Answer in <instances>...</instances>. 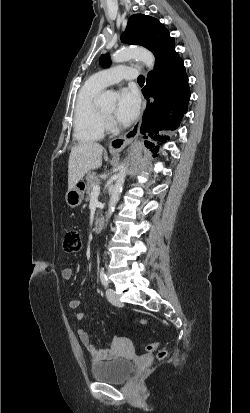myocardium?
<instances>
[{
  "mask_svg": "<svg viewBox=\"0 0 250 413\" xmlns=\"http://www.w3.org/2000/svg\"><path fill=\"white\" fill-rule=\"evenodd\" d=\"M102 112H103V114H104V116L107 118L110 114L109 113H107V112H105V111H103L102 110Z\"/></svg>",
  "mask_w": 250,
  "mask_h": 413,
  "instance_id": "f54148a6",
  "label": "myocardium"
}]
</instances>
